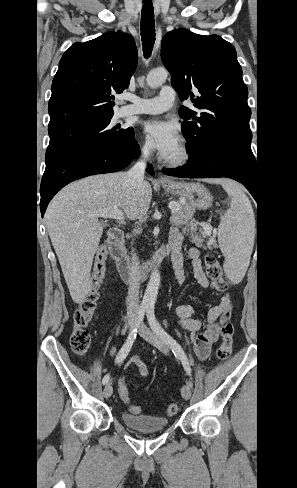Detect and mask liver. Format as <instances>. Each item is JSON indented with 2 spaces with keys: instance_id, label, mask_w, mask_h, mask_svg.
I'll return each mask as SVG.
<instances>
[{
  "instance_id": "1",
  "label": "liver",
  "mask_w": 297,
  "mask_h": 488,
  "mask_svg": "<svg viewBox=\"0 0 297 488\" xmlns=\"http://www.w3.org/2000/svg\"><path fill=\"white\" fill-rule=\"evenodd\" d=\"M149 182L132 186L127 172L90 176L63 188L45 213L49 236L73 301L82 303L92 287L90 272L103 227L91 214L118 208L129 220L147 214Z\"/></svg>"
}]
</instances>
